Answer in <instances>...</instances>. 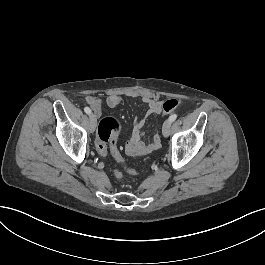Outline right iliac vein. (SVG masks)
<instances>
[{
	"label": "right iliac vein",
	"mask_w": 265,
	"mask_h": 265,
	"mask_svg": "<svg viewBox=\"0 0 265 265\" xmlns=\"http://www.w3.org/2000/svg\"><path fill=\"white\" fill-rule=\"evenodd\" d=\"M96 126H97V119L94 115H91L90 119H89V126L88 127L92 133L95 131Z\"/></svg>",
	"instance_id": "right-iliac-vein-1"
}]
</instances>
